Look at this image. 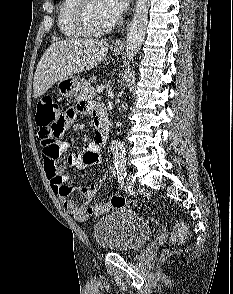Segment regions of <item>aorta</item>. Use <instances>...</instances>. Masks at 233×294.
Returning <instances> with one entry per match:
<instances>
[{
  "label": "aorta",
  "instance_id": "aorta-1",
  "mask_svg": "<svg viewBox=\"0 0 233 294\" xmlns=\"http://www.w3.org/2000/svg\"><path fill=\"white\" fill-rule=\"evenodd\" d=\"M148 22V0H136L135 12L130 22L126 36V57L132 61L145 39L146 26ZM111 152L117 167H124L126 154L123 144L114 140L111 143Z\"/></svg>",
  "mask_w": 233,
  "mask_h": 294
}]
</instances>
